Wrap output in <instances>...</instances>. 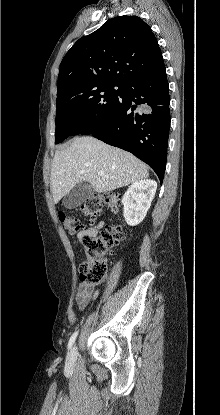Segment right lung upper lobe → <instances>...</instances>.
Listing matches in <instances>:
<instances>
[{
	"instance_id": "cb5924a9",
	"label": "right lung upper lobe",
	"mask_w": 220,
	"mask_h": 415,
	"mask_svg": "<svg viewBox=\"0 0 220 415\" xmlns=\"http://www.w3.org/2000/svg\"><path fill=\"white\" fill-rule=\"evenodd\" d=\"M164 64L150 26L138 16H119L80 38L63 58L57 95L78 84L124 83Z\"/></svg>"
}]
</instances>
